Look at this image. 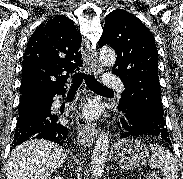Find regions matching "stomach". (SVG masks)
Returning <instances> with one entry per match:
<instances>
[{
    "mask_svg": "<svg viewBox=\"0 0 183 179\" xmlns=\"http://www.w3.org/2000/svg\"><path fill=\"white\" fill-rule=\"evenodd\" d=\"M148 154L147 146L137 139L121 140L115 144L112 151L114 160L125 170L143 166Z\"/></svg>",
    "mask_w": 183,
    "mask_h": 179,
    "instance_id": "stomach-1",
    "label": "stomach"
}]
</instances>
